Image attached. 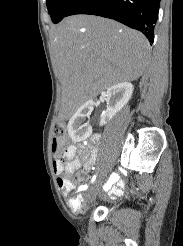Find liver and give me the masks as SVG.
Here are the masks:
<instances>
[{
	"mask_svg": "<svg viewBox=\"0 0 183 246\" xmlns=\"http://www.w3.org/2000/svg\"><path fill=\"white\" fill-rule=\"evenodd\" d=\"M51 40L67 117L105 89L137 80L150 55L142 33L94 15L65 18L52 28Z\"/></svg>",
	"mask_w": 183,
	"mask_h": 246,
	"instance_id": "obj_1",
	"label": "liver"
}]
</instances>
